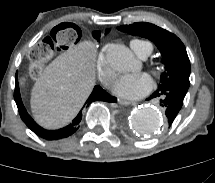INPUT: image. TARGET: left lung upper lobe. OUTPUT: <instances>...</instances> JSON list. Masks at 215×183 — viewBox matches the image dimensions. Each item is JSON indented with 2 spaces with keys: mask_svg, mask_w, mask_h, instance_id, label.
<instances>
[{
  "mask_svg": "<svg viewBox=\"0 0 215 183\" xmlns=\"http://www.w3.org/2000/svg\"><path fill=\"white\" fill-rule=\"evenodd\" d=\"M117 29L131 35L148 38L157 46L165 65L158 87L176 84L189 89L190 61L184 44L176 35L146 22L122 25Z\"/></svg>",
  "mask_w": 215,
  "mask_h": 183,
  "instance_id": "obj_1",
  "label": "left lung upper lobe"
}]
</instances>
